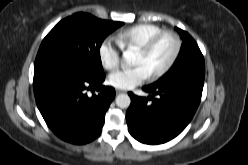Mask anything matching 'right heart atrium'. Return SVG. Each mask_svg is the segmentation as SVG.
<instances>
[{
  "label": "right heart atrium",
  "mask_w": 248,
  "mask_h": 165,
  "mask_svg": "<svg viewBox=\"0 0 248 165\" xmlns=\"http://www.w3.org/2000/svg\"><path fill=\"white\" fill-rule=\"evenodd\" d=\"M121 47L111 38L103 40L99 46L98 54L103 67L107 70H114L120 63Z\"/></svg>",
  "instance_id": "right-heart-atrium-1"
}]
</instances>
